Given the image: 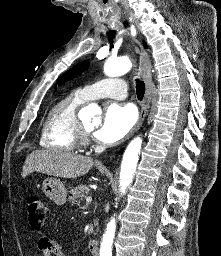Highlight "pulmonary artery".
I'll return each instance as SVG.
<instances>
[{"mask_svg":"<svg viewBox=\"0 0 221 256\" xmlns=\"http://www.w3.org/2000/svg\"><path fill=\"white\" fill-rule=\"evenodd\" d=\"M80 92L87 100L106 97L124 99L127 96V84L120 78H107L85 86Z\"/></svg>","mask_w":221,"mask_h":256,"instance_id":"obj_1","label":"pulmonary artery"}]
</instances>
